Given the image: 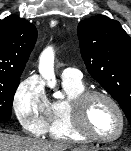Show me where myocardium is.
Here are the masks:
<instances>
[{
    "label": "myocardium",
    "instance_id": "1",
    "mask_svg": "<svg viewBox=\"0 0 131 151\" xmlns=\"http://www.w3.org/2000/svg\"><path fill=\"white\" fill-rule=\"evenodd\" d=\"M96 98H102L109 102L118 114L120 120L119 131L116 135L112 137L106 138L98 136L93 133L88 126L89 105ZM70 109L74 129L79 135L88 140H92L99 143H113L119 140L125 131L126 118L124 111L119 102L107 92L101 90H84L79 93L75 98H73L70 103Z\"/></svg>",
    "mask_w": 131,
    "mask_h": 151
}]
</instances>
